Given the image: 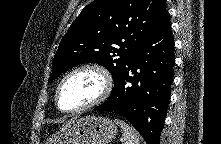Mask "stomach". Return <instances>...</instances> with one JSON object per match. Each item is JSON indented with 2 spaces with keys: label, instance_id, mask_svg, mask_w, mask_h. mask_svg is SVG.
I'll list each match as a JSON object with an SVG mask.
<instances>
[{
  "label": "stomach",
  "instance_id": "1",
  "mask_svg": "<svg viewBox=\"0 0 221 144\" xmlns=\"http://www.w3.org/2000/svg\"><path fill=\"white\" fill-rule=\"evenodd\" d=\"M116 133L115 124L107 117H76L50 137L47 144H108Z\"/></svg>",
  "mask_w": 221,
  "mask_h": 144
}]
</instances>
